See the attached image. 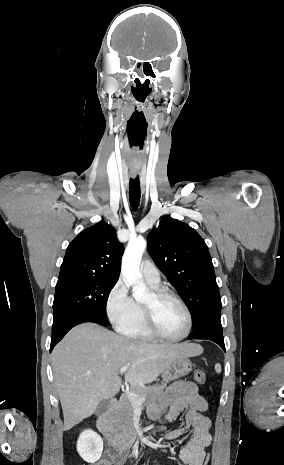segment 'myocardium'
Returning <instances> with one entry per match:
<instances>
[{
	"label": "myocardium",
	"mask_w": 284,
	"mask_h": 465,
	"mask_svg": "<svg viewBox=\"0 0 284 465\" xmlns=\"http://www.w3.org/2000/svg\"><path fill=\"white\" fill-rule=\"evenodd\" d=\"M154 301L152 304L143 305V313L145 316V321L143 322L144 328L146 332L156 341L163 342V343H178L186 339L193 327V317L191 311L189 310L188 306L177 296L174 294L164 290V289H157L153 293ZM165 300L173 301L178 304L182 310L184 311L186 318H187V327L183 335L177 338H166L162 336L156 329V307L157 305Z\"/></svg>",
	"instance_id": "1"
}]
</instances>
